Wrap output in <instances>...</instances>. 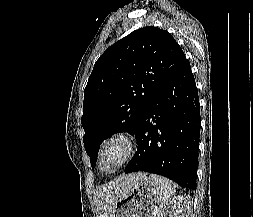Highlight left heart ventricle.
Instances as JSON below:
<instances>
[{"label":"left heart ventricle","instance_id":"left-heart-ventricle-1","mask_svg":"<svg viewBox=\"0 0 253 217\" xmlns=\"http://www.w3.org/2000/svg\"><path fill=\"white\" fill-rule=\"evenodd\" d=\"M122 150L119 145L112 146L104 155L102 160V168L105 171H109L115 167L120 159Z\"/></svg>","mask_w":253,"mask_h":217}]
</instances>
